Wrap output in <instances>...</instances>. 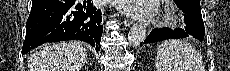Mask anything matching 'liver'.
<instances>
[{
	"mask_svg": "<svg viewBox=\"0 0 230 71\" xmlns=\"http://www.w3.org/2000/svg\"><path fill=\"white\" fill-rule=\"evenodd\" d=\"M87 56L79 42L45 45L32 54L28 67L30 71H81Z\"/></svg>",
	"mask_w": 230,
	"mask_h": 71,
	"instance_id": "1",
	"label": "liver"
}]
</instances>
